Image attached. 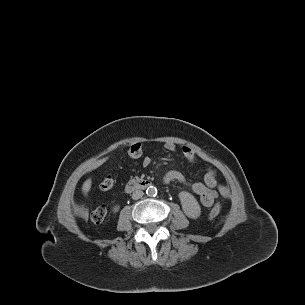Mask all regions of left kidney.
<instances>
[{"label": "left kidney", "mask_w": 305, "mask_h": 305, "mask_svg": "<svg viewBox=\"0 0 305 305\" xmlns=\"http://www.w3.org/2000/svg\"><path fill=\"white\" fill-rule=\"evenodd\" d=\"M182 209L185 215L192 219H197L201 215V208L196 198L187 191L178 194Z\"/></svg>", "instance_id": "1"}]
</instances>
